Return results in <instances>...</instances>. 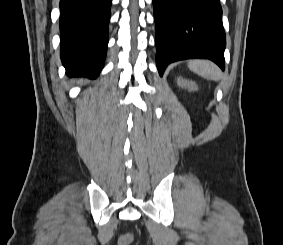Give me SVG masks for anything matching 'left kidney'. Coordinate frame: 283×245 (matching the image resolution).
I'll return each instance as SVG.
<instances>
[{
  "label": "left kidney",
  "instance_id": "obj_1",
  "mask_svg": "<svg viewBox=\"0 0 283 245\" xmlns=\"http://www.w3.org/2000/svg\"><path fill=\"white\" fill-rule=\"evenodd\" d=\"M177 84H178L179 87L188 89L189 91H197L198 90V85L194 81L187 80V79H184L182 77L177 78Z\"/></svg>",
  "mask_w": 283,
  "mask_h": 245
}]
</instances>
